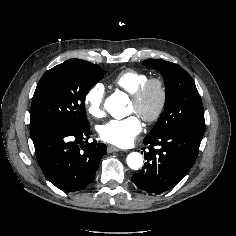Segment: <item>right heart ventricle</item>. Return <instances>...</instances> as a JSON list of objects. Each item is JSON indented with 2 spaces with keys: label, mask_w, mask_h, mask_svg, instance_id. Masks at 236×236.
Segmentation results:
<instances>
[{
  "label": "right heart ventricle",
  "mask_w": 236,
  "mask_h": 236,
  "mask_svg": "<svg viewBox=\"0 0 236 236\" xmlns=\"http://www.w3.org/2000/svg\"><path fill=\"white\" fill-rule=\"evenodd\" d=\"M149 74L145 71L127 69L120 72L113 80V84L127 92L128 94H134L147 80Z\"/></svg>",
  "instance_id": "e07e8e85"
}]
</instances>
